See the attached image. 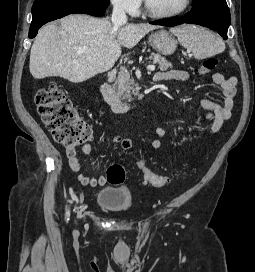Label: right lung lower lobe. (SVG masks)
Wrapping results in <instances>:
<instances>
[{
	"label": "right lung lower lobe",
	"instance_id": "1",
	"mask_svg": "<svg viewBox=\"0 0 255 272\" xmlns=\"http://www.w3.org/2000/svg\"><path fill=\"white\" fill-rule=\"evenodd\" d=\"M105 10L106 8L83 0H35L29 38H34L39 28L49 21L74 13L100 17L105 14Z\"/></svg>",
	"mask_w": 255,
	"mask_h": 272
}]
</instances>
